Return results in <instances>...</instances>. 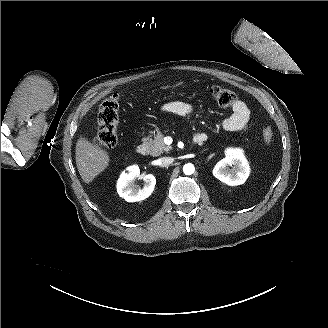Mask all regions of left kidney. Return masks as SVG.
I'll return each mask as SVG.
<instances>
[{"instance_id": "1", "label": "left kidney", "mask_w": 328, "mask_h": 328, "mask_svg": "<svg viewBox=\"0 0 328 328\" xmlns=\"http://www.w3.org/2000/svg\"><path fill=\"white\" fill-rule=\"evenodd\" d=\"M249 172L248 163L239 149H228L226 157L220 160L213 169V175L217 179L231 186L245 183Z\"/></svg>"}]
</instances>
